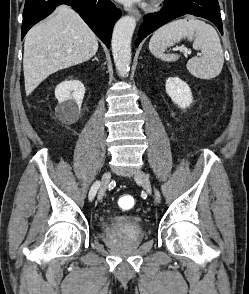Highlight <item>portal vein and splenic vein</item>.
Segmentation results:
<instances>
[{
    "mask_svg": "<svg viewBox=\"0 0 249 294\" xmlns=\"http://www.w3.org/2000/svg\"><path fill=\"white\" fill-rule=\"evenodd\" d=\"M186 54H191V51L184 50Z\"/></svg>",
    "mask_w": 249,
    "mask_h": 294,
    "instance_id": "portal-vein-and-splenic-vein-1",
    "label": "portal vein and splenic vein"
}]
</instances>
